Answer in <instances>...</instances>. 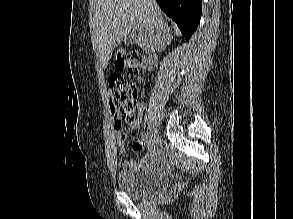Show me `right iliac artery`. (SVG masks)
Returning <instances> with one entry per match:
<instances>
[{
    "mask_svg": "<svg viewBox=\"0 0 293 219\" xmlns=\"http://www.w3.org/2000/svg\"><path fill=\"white\" fill-rule=\"evenodd\" d=\"M145 135L147 138L150 137V132H147Z\"/></svg>",
    "mask_w": 293,
    "mask_h": 219,
    "instance_id": "1",
    "label": "right iliac artery"
}]
</instances>
